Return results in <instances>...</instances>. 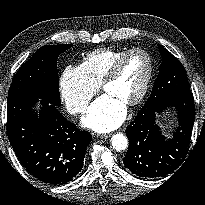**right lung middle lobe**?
I'll list each match as a JSON object with an SVG mask.
<instances>
[{
    "label": "right lung middle lobe",
    "mask_w": 205,
    "mask_h": 205,
    "mask_svg": "<svg viewBox=\"0 0 205 205\" xmlns=\"http://www.w3.org/2000/svg\"><path fill=\"white\" fill-rule=\"evenodd\" d=\"M71 44L45 45L25 62L15 74L8 98L17 94H28L59 106L58 56Z\"/></svg>",
    "instance_id": "right-lung-middle-lobe-1"
}]
</instances>
